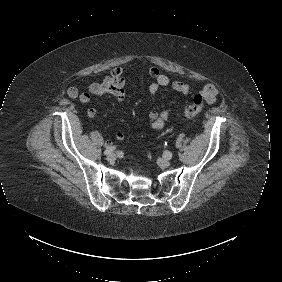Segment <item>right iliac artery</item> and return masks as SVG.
<instances>
[{"label": "right iliac artery", "instance_id": "right-iliac-artery-1", "mask_svg": "<svg viewBox=\"0 0 282 282\" xmlns=\"http://www.w3.org/2000/svg\"><path fill=\"white\" fill-rule=\"evenodd\" d=\"M115 150V146H109L105 149L104 154L109 155L111 152Z\"/></svg>", "mask_w": 282, "mask_h": 282}]
</instances>
